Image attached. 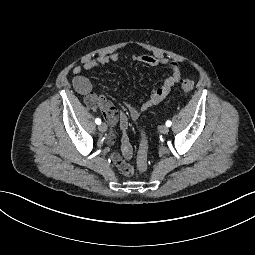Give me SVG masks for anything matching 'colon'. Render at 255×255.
<instances>
[{
    "instance_id": "1",
    "label": "colon",
    "mask_w": 255,
    "mask_h": 255,
    "mask_svg": "<svg viewBox=\"0 0 255 255\" xmlns=\"http://www.w3.org/2000/svg\"><path fill=\"white\" fill-rule=\"evenodd\" d=\"M194 88V81L192 79H185L181 82V89L188 93ZM147 151H148V137L144 128L141 129V140L137 155V167L140 171H145L147 168Z\"/></svg>"
}]
</instances>
